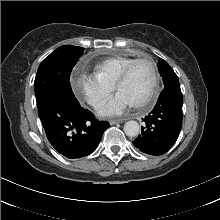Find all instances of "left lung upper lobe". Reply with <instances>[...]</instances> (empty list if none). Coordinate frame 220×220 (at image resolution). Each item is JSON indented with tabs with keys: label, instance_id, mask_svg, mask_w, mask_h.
I'll list each match as a JSON object with an SVG mask.
<instances>
[{
	"label": "left lung upper lobe",
	"instance_id": "left-lung-upper-lobe-1",
	"mask_svg": "<svg viewBox=\"0 0 220 220\" xmlns=\"http://www.w3.org/2000/svg\"><path fill=\"white\" fill-rule=\"evenodd\" d=\"M158 69L164 82V88L179 86L177 75L165 60L159 59Z\"/></svg>",
	"mask_w": 220,
	"mask_h": 220
}]
</instances>
